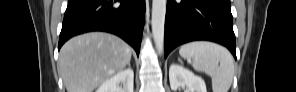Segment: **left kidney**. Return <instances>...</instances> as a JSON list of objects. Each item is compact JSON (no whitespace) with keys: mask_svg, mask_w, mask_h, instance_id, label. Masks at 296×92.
<instances>
[{"mask_svg":"<svg viewBox=\"0 0 296 92\" xmlns=\"http://www.w3.org/2000/svg\"><path fill=\"white\" fill-rule=\"evenodd\" d=\"M169 81L173 91L186 86L189 92H207L206 84L201 77L194 75V73L178 64L170 66Z\"/></svg>","mask_w":296,"mask_h":92,"instance_id":"5707ae66","label":"left kidney"}]
</instances>
